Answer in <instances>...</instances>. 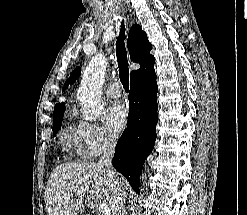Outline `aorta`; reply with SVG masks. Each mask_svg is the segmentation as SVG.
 Segmentation results:
<instances>
[{"label":"aorta","mask_w":247,"mask_h":215,"mask_svg":"<svg viewBox=\"0 0 247 215\" xmlns=\"http://www.w3.org/2000/svg\"><path fill=\"white\" fill-rule=\"evenodd\" d=\"M107 64L104 56L96 55L83 73L77 99L80 101L83 117L88 121L96 120L102 113L101 93Z\"/></svg>","instance_id":"obj_1"}]
</instances>
